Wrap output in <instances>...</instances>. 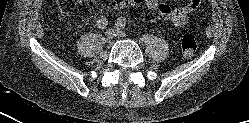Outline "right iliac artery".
Here are the masks:
<instances>
[{
  "label": "right iliac artery",
  "instance_id": "1",
  "mask_svg": "<svg viewBox=\"0 0 249 123\" xmlns=\"http://www.w3.org/2000/svg\"><path fill=\"white\" fill-rule=\"evenodd\" d=\"M107 25H108V20L105 17H102L97 21V26L100 29L106 28Z\"/></svg>",
  "mask_w": 249,
  "mask_h": 123
}]
</instances>
